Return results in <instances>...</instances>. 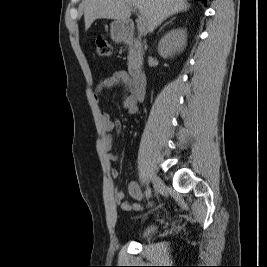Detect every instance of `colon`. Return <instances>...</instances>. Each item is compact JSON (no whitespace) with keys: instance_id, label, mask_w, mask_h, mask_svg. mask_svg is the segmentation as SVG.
<instances>
[{"instance_id":"colon-1","label":"colon","mask_w":267,"mask_h":267,"mask_svg":"<svg viewBox=\"0 0 267 267\" xmlns=\"http://www.w3.org/2000/svg\"><path fill=\"white\" fill-rule=\"evenodd\" d=\"M97 54L101 57H108L112 54L111 44L103 37H98L95 41Z\"/></svg>"}]
</instances>
